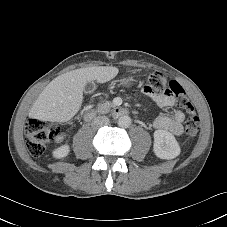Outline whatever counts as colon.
<instances>
[{"mask_svg":"<svg viewBox=\"0 0 227 227\" xmlns=\"http://www.w3.org/2000/svg\"><path fill=\"white\" fill-rule=\"evenodd\" d=\"M157 90V96H161L163 89H170L176 97L177 104L183 108L189 117L185 124V134L188 138H194L200 127V120L195 113L194 106L188 99L183 88L174 81H168L165 76L154 71L146 75V84ZM27 148L33 157L41 156L46 145L60 134V127L56 123L45 122L38 119H29L25 125Z\"/></svg>","mask_w":227,"mask_h":227,"instance_id":"obj_1","label":"colon"}]
</instances>
